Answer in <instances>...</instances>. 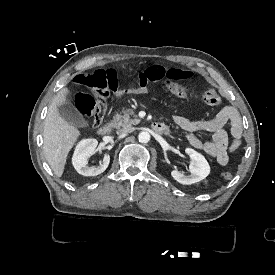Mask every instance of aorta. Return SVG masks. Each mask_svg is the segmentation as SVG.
I'll return each instance as SVG.
<instances>
[{"mask_svg": "<svg viewBox=\"0 0 275 275\" xmlns=\"http://www.w3.org/2000/svg\"><path fill=\"white\" fill-rule=\"evenodd\" d=\"M138 140L141 143H148L150 141V134L147 131H142L138 135Z\"/></svg>", "mask_w": 275, "mask_h": 275, "instance_id": "aorta-1", "label": "aorta"}]
</instances>
